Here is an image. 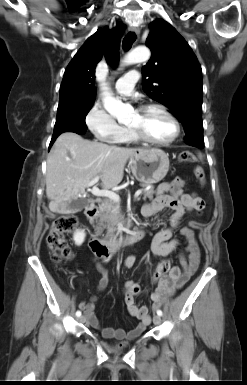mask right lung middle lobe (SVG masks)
I'll use <instances>...</instances> for the list:
<instances>
[{
	"instance_id": "1",
	"label": "right lung middle lobe",
	"mask_w": 247,
	"mask_h": 385,
	"mask_svg": "<svg viewBox=\"0 0 247 385\" xmlns=\"http://www.w3.org/2000/svg\"><path fill=\"white\" fill-rule=\"evenodd\" d=\"M95 98L60 97L53 135L73 130H86L85 118Z\"/></svg>"
}]
</instances>
